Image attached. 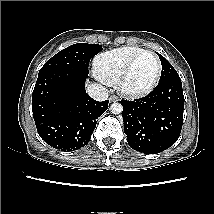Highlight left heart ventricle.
Instances as JSON below:
<instances>
[{"instance_id":"left-heart-ventricle-1","label":"left heart ventricle","mask_w":214,"mask_h":214,"mask_svg":"<svg viewBox=\"0 0 214 214\" xmlns=\"http://www.w3.org/2000/svg\"><path fill=\"white\" fill-rule=\"evenodd\" d=\"M157 63L152 55H144L133 67L127 80L130 89H143L147 87L155 78Z\"/></svg>"}]
</instances>
